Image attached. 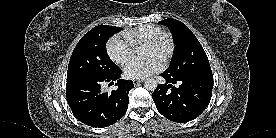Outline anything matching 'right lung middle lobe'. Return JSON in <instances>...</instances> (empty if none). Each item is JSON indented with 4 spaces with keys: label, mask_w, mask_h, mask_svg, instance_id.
<instances>
[{
    "label": "right lung middle lobe",
    "mask_w": 276,
    "mask_h": 138,
    "mask_svg": "<svg viewBox=\"0 0 276 138\" xmlns=\"http://www.w3.org/2000/svg\"><path fill=\"white\" fill-rule=\"evenodd\" d=\"M120 27L98 25L86 33L76 45L68 65L67 83L89 78H102L119 67L109 58L106 42Z\"/></svg>",
    "instance_id": "obj_1"
}]
</instances>
